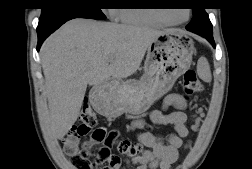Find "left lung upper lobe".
<instances>
[{
  "label": "left lung upper lobe",
  "mask_w": 252,
  "mask_h": 169,
  "mask_svg": "<svg viewBox=\"0 0 252 169\" xmlns=\"http://www.w3.org/2000/svg\"><path fill=\"white\" fill-rule=\"evenodd\" d=\"M204 0H195V2H203ZM193 18L191 22L186 26L189 31H202L206 34L213 35L212 24L209 20L205 8L196 6L192 8Z\"/></svg>",
  "instance_id": "1"
}]
</instances>
